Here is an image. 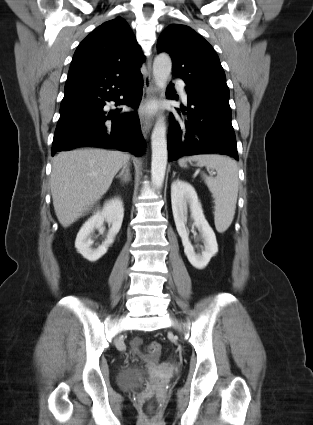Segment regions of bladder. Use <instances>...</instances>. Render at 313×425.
I'll list each match as a JSON object with an SVG mask.
<instances>
[{
	"instance_id": "obj_1",
	"label": "bladder",
	"mask_w": 313,
	"mask_h": 425,
	"mask_svg": "<svg viewBox=\"0 0 313 425\" xmlns=\"http://www.w3.org/2000/svg\"><path fill=\"white\" fill-rule=\"evenodd\" d=\"M144 370L130 366L120 371L117 382L123 388H133L145 379Z\"/></svg>"
}]
</instances>
